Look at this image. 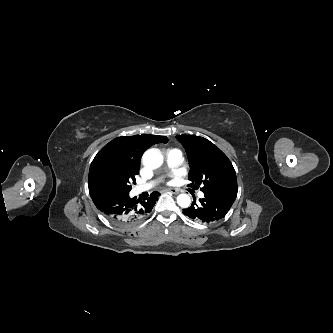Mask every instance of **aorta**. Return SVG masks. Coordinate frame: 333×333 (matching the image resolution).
Listing matches in <instances>:
<instances>
[{
    "label": "aorta",
    "instance_id": "1",
    "mask_svg": "<svg viewBox=\"0 0 333 333\" xmlns=\"http://www.w3.org/2000/svg\"><path fill=\"white\" fill-rule=\"evenodd\" d=\"M143 163L149 169H156L163 163L162 154L157 149H149L143 154ZM177 203L182 208L190 205V197L187 194H180L177 197Z\"/></svg>",
    "mask_w": 333,
    "mask_h": 333
}]
</instances>
